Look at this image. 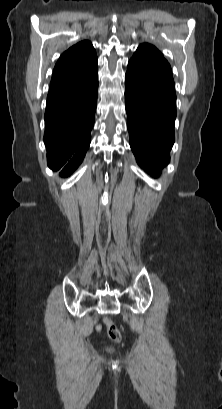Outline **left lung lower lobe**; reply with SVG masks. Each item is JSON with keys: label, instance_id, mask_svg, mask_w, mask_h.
Instances as JSON below:
<instances>
[{"label": "left lung lower lobe", "instance_id": "left-lung-lower-lobe-1", "mask_svg": "<svg viewBox=\"0 0 222 409\" xmlns=\"http://www.w3.org/2000/svg\"><path fill=\"white\" fill-rule=\"evenodd\" d=\"M125 87L131 149L138 164L156 177L169 163L175 140V90L130 72Z\"/></svg>", "mask_w": 222, "mask_h": 409}]
</instances>
